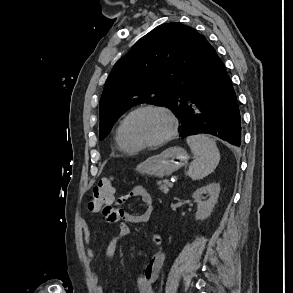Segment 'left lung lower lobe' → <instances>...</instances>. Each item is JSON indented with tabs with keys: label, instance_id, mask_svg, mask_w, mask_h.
Segmentation results:
<instances>
[{
	"label": "left lung lower lobe",
	"instance_id": "left-lung-lower-lobe-1",
	"mask_svg": "<svg viewBox=\"0 0 293 293\" xmlns=\"http://www.w3.org/2000/svg\"><path fill=\"white\" fill-rule=\"evenodd\" d=\"M180 136L215 135L241 144V117L229 75L214 48L204 78L181 101Z\"/></svg>",
	"mask_w": 293,
	"mask_h": 293
}]
</instances>
